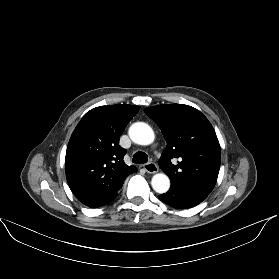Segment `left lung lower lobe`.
<instances>
[{
	"label": "left lung lower lobe",
	"mask_w": 279,
	"mask_h": 279,
	"mask_svg": "<svg viewBox=\"0 0 279 279\" xmlns=\"http://www.w3.org/2000/svg\"><path fill=\"white\" fill-rule=\"evenodd\" d=\"M158 197L161 201L176 209H186L194 207L205 199L198 195L176 188H170L168 192L161 194Z\"/></svg>",
	"instance_id": "1"
}]
</instances>
